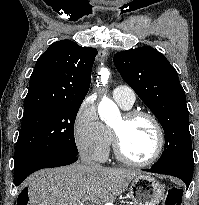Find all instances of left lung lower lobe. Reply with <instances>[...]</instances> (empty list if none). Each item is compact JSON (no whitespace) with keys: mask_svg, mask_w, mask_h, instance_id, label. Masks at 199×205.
I'll use <instances>...</instances> for the list:
<instances>
[{"mask_svg":"<svg viewBox=\"0 0 199 205\" xmlns=\"http://www.w3.org/2000/svg\"><path fill=\"white\" fill-rule=\"evenodd\" d=\"M145 171L152 172V173H159V174H166V175H172L175 177L180 178L187 186L189 187L191 181H192V173H189L181 168L177 167H162V168H156L151 167L150 169H145Z\"/></svg>","mask_w":199,"mask_h":205,"instance_id":"obj_1","label":"left lung lower lobe"}]
</instances>
